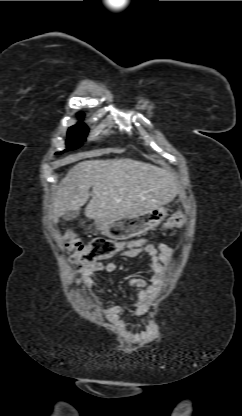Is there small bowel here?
<instances>
[{"label": "small bowel", "mask_w": 242, "mask_h": 416, "mask_svg": "<svg viewBox=\"0 0 242 416\" xmlns=\"http://www.w3.org/2000/svg\"><path fill=\"white\" fill-rule=\"evenodd\" d=\"M139 253H145L148 257L146 270L150 279L146 280L141 277H131L128 280L129 286L141 290L130 311L133 316L137 317L145 315L149 311L151 305L155 302L160 288L165 284L166 268L171 264L175 257V251L165 244H147L138 249L124 251L121 255L124 257H133ZM116 270L117 264L114 262L94 263L81 265L77 269L76 275L82 279L85 293L92 297L94 286L93 275H107ZM124 312V308L119 305L103 310L107 321L112 324L124 338L128 339L131 337V332L127 329L121 319Z\"/></svg>", "instance_id": "c3829d8e"}]
</instances>
